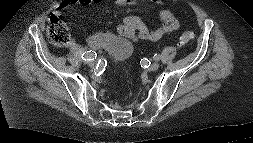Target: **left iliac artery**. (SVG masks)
I'll use <instances>...</instances> for the list:
<instances>
[{"mask_svg": "<svg viewBox=\"0 0 253 143\" xmlns=\"http://www.w3.org/2000/svg\"><path fill=\"white\" fill-rule=\"evenodd\" d=\"M154 59H155V60H160V55H159V54H155V55H154Z\"/></svg>", "mask_w": 253, "mask_h": 143, "instance_id": "obj_1", "label": "left iliac artery"}]
</instances>
